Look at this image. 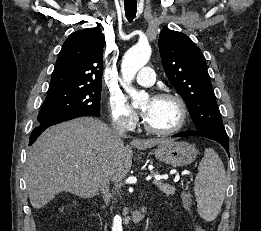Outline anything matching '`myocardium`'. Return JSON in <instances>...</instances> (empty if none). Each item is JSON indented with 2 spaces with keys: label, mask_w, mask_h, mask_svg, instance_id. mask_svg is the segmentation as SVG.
<instances>
[{
  "label": "myocardium",
  "mask_w": 261,
  "mask_h": 231,
  "mask_svg": "<svg viewBox=\"0 0 261 231\" xmlns=\"http://www.w3.org/2000/svg\"><path fill=\"white\" fill-rule=\"evenodd\" d=\"M155 98H160V99L167 98V99L174 100L179 109V121L174 127L170 128L168 130H159V129L152 127L146 121L145 117H143V126H144L145 130L151 134L159 135V136H170V135L176 134L177 132L182 130V128L185 126L187 118H188V108H187V105H186L184 99L180 95L173 93V92H160L157 95H155Z\"/></svg>",
  "instance_id": "f54148a6"
}]
</instances>
